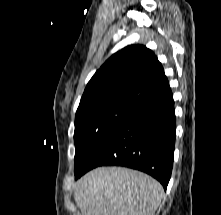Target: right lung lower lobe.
<instances>
[{
	"instance_id": "1",
	"label": "right lung lower lobe",
	"mask_w": 221,
	"mask_h": 215,
	"mask_svg": "<svg viewBox=\"0 0 221 215\" xmlns=\"http://www.w3.org/2000/svg\"><path fill=\"white\" fill-rule=\"evenodd\" d=\"M175 129L174 100L169 86L135 105L75 178L98 166H125L151 175L166 190L173 167Z\"/></svg>"
}]
</instances>
